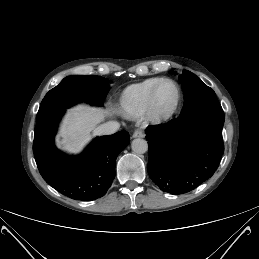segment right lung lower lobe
Masks as SVG:
<instances>
[{
    "mask_svg": "<svg viewBox=\"0 0 259 259\" xmlns=\"http://www.w3.org/2000/svg\"><path fill=\"white\" fill-rule=\"evenodd\" d=\"M66 109L37 119L33 153L44 180L61 194L80 201L105 195L115 177L118 154L130 143L129 134L119 131L96 138L78 156H67L54 143L58 123Z\"/></svg>",
    "mask_w": 259,
    "mask_h": 259,
    "instance_id": "obj_1",
    "label": "right lung lower lobe"
}]
</instances>
